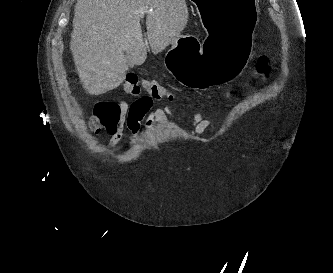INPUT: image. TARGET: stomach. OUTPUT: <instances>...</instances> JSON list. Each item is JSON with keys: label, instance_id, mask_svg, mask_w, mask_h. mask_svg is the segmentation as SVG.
<instances>
[{"label": "stomach", "instance_id": "stomach-1", "mask_svg": "<svg viewBox=\"0 0 333 273\" xmlns=\"http://www.w3.org/2000/svg\"><path fill=\"white\" fill-rule=\"evenodd\" d=\"M200 16L205 39L197 52V39L180 35L167 54V66L184 86L206 90L224 81H236L249 65L257 0H192Z\"/></svg>", "mask_w": 333, "mask_h": 273}]
</instances>
